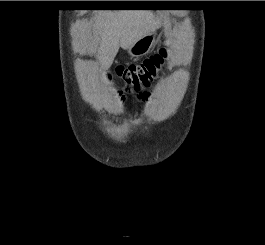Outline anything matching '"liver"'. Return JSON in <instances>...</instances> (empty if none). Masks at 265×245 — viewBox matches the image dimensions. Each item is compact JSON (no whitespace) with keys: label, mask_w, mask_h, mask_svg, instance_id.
<instances>
[{"label":"liver","mask_w":265,"mask_h":245,"mask_svg":"<svg viewBox=\"0 0 265 245\" xmlns=\"http://www.w3.org/2000/svg\"><path fill=\"white\" fill-rule=\"evenodd\" d=\"M159 21L148 10L102 12L83 35L89 52L97 54L103 68L111 66L119 47L128 50L137 40L154 32Z\"/></svg>","instance_id":"liver-1"}]
</instances>
